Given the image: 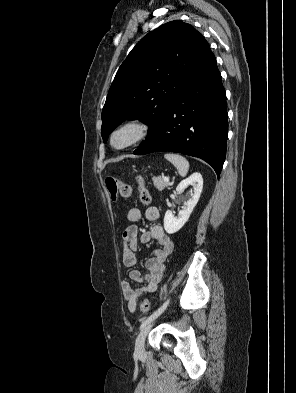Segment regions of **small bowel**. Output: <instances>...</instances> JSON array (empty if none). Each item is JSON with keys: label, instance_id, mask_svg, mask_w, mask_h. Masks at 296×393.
I'll list each match as a JSON object with an SVG mask.
<instances>
[{"label": "small bowel", "instance_id": "obj_1", "mask_svg": "<svg viewBox=\"0 0 296 393\" xmlns=\"http://www.w3.org/2000/svg\"><path fill=\"white\" fill-rule=\"evenodd\" d=\"M145 217L149 221L157 220L159 217L158 209L156 207L147 208ZM127 219L132 224L128 226L122 234L124 244L122 262L126 267L132 268L129 272L130 279L142 283L138 288H133L128 281L122 283L128 310L133 313L136 310L139 297L145 293L154 292L157 289L163 276L164 262L173 251L174 243L159 225L152 226L148 231H140L138 226L135 225V223L142 219V211L139 208H131L127 213ZM152 239L158 242L159 248L156 249L153 256L146 261L145 266L148 273L142 276L139 270L133 268L137 264L135 252L139 242L147 244Z\"/></svg>", "mask_w": 296, "mask_h": 393}]
</instances>
